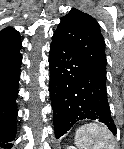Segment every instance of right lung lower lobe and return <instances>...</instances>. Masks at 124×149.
Listing matches in <instances>:
<instances>
[{"instance_id":"1","label":"right lung lower lobe","mask_w":124,"mask_h":149,"mask_svg":"<svg viewBox=\"0 0 124 149\" xmlns=\"http://www.w3.org/2000/svg\"><path fill=\"white\" fill-rule=\"evenodd\" d=\"M20 38L0 41V147L11 148L16 135V96L20 78Z\"/></svg>"}]
</instances>
